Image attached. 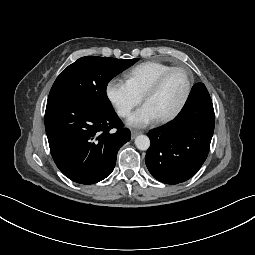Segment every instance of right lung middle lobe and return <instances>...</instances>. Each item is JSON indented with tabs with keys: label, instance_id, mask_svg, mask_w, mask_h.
I'll use <instances>...</instances> for the list:
<instances>
[{
	"label": "right lung middle lobe",
	"instance_id": "1",
	"mask_svg": "<svg viewBox=\"0 0 255 255\" xmlns=\"http://www.w3.org/2000/svg\"><path fill=\"white\" fill-rule=\"evenodd\" d=\"M138 60L97 56L79 58L60 73L51 88L48 99H76L98 110L111 112L113 108L106 95L108 83Z\"/></svg>",
	"mask_w": 255,
	"mask_h": 255
}]
</instances>
